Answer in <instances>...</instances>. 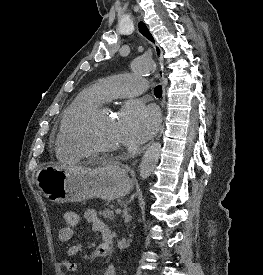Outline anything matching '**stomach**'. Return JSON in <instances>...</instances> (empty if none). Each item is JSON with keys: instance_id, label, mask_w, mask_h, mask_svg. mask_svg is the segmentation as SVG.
Masks as SVG:
<instances>
[{"instance_id": "1", "label": "stomach", "mask_w": 263, "mask_h": 275, "mask_svg": "<svg viewBox=\"0 0 263 275\" xmlns=\"http://www.w3.org/2000/svg\"><path fill=\"white\" fill-rule=\"evenodd\" d=\"M37 185L54 203L80 202L91 198L112 201L128 194L132 181L125 168L104 163L95 168L86 166H53L41 169Z\"/></svg>"}]
</instances>
